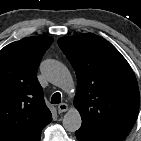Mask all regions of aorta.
I'll return each instance as SVG.
<instances>
[{
	"instance_id": "obj_1",
	"label": "aorta",
	"mask_w": 141,
	"mask_h": 141,
	"mask_svg": "<svg viewBox=\"0 0 141 141\" xmlns=\"http://www.w3.org/2000/svg\"><path fill=\"white\" fill-rule=\"evenodd\" d=\"M41 72L47 77L50 83L65 90L70 91L74 87V82L68 68L60 61L47 59L41 63ZM82 119L76 108H70L63 117V126L69 132L80 129Z\"/></svg>"
}]
</instances>
